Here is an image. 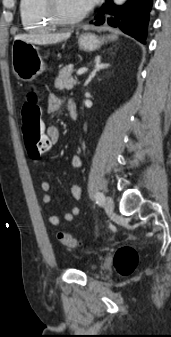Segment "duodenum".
Instances as JSON below:
<instances>
[{"instance_id":"obj_1","label":"duodenum","mask_w":171,"mask_h":337,"mask_svg":"<svg viewBox=\"0 0 171 337\" xmlns=\"http://www.w3.org/2000/svg\"><path fill=\"white\" fill-rule=\"evenodd\" d=\"M68 110L71 118L76 120L78 118V107L76 102L72 101L68 106Z\"/></svg>"}]
</instances>
